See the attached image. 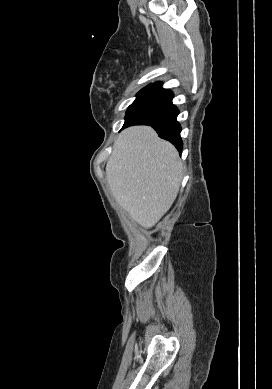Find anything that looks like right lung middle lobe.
I'll return each mask as SVG.
<instances>
[{
  "label": "right lung middle lobe",
  "instance_id": "obj_1",
  "mask_svg": "<svg viewBox=\"0 0 272 389\" xmlns=\"http://www.w3.org/2000/svg\"><path fill=\"white\" fill-rule=\"evenodd\" d=\"M161 89L160 86H157V85H148L147 87L143 88L142 90H140V92L136 95V99L135 101L129 106L127 112H126V116L137 106L139 105L141 102H143L145 99H147L149 96H151L152 94L156 93L157 91H159Z\"/></svg>",
  "mask_w": 272,
  "mask_h": 389
}]
</instances>
